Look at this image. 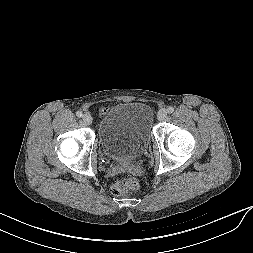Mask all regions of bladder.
I'll list each match as a JSON object with an SVG mask.
<instances>
[{
  "instance_id": "obj_1",
  "label": "bladder",
  "mask_w": 253,
  "mask_h": 253,
  "mask_svg": "<svg viewBox=\"0 0 253 253\" xmlns=\"http://www.w3.org/2000/svg\"><path fill=\"white\" fill-rule=\"evenodd\" d=\"M153 111L144 102H121L102 117L98 136L105 156L116 162L136 159L152 135Z\"/></svg>"
}]
</instances>
